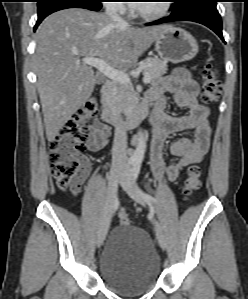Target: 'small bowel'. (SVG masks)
<instances>
[{
	"instance_id": "obj_1",
	"label": "small bowel",
	"mask_w": 248,
	"mask_h": 299,
	"mask_svg": "<svg viewBox=\"0 0 248 299\" xmlns=\"http://www.w3.org/2000/svg\"><path fill=\"white\" fill-rule=\"evenodd\" d=\"M166 94H172L175 105L187 109L181 116H171L163 112ZM198 84L185 70H177L156 82L148 92V100L154 105L152 115L153 140L150 147V168L157 179L168 178L174 181L181 170L199 163L210 148L211 127L208 122V108L197 99ZM195 131L193 141L178 138L171 142L172 162L166 165L163 159V147L166 138L173 133ZM109 139V127L101 121H94L88 128V149L101 151ZM86 174L90 167L88 159L83 160Z\"/></svg>"
}]
</instances>
